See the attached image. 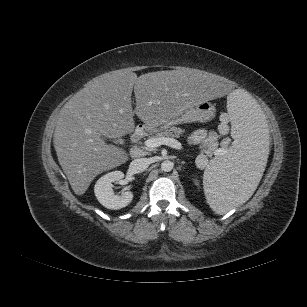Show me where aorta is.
Returning <instances> with one entry per match:
<instances>
[{"label":"aorta","mask_w":307,"mask_h":307,"mask_svg":"<svg viewBox=\"0 0 307 307\" xmlns=\"http://www.w3.org/2000/svg\"><path fill=\"white\" fill-rule=\"evenodd\" d=\"M174 167L172 161L166 160L161 163V170L164 172H170Z\"/></svg>","instance_id":"aorta-1"}]
</instances>
